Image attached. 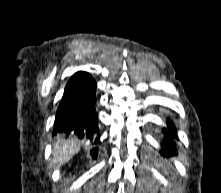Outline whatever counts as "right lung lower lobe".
Wrapping results in <instances>:
<instances>
[{"label": "right lung lower lobe", "instance_id": "obj_1", "mask_svg": "<svg viewBox=\"0 0 221 193\" xmlns=\"http://www.w3.org/2000/svg\"><path fill=\"white\" fill-rule=\"evenodd\" d=\"M96 82L86 72L74 74L58 107L53 134L97 144ZM97 148L92 154L97 156Z\"/></svg>", "mask_w": 221, "mask_h": 193}]
</instances>
